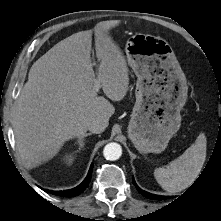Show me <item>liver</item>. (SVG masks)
Listing matches in <instances>:
<instances>
[{
  "label": "liver",
  "mask_w": 221,
  "mask_h": 221,
  "mask_svg": "<svg viewBox=\"0 0 221 221\" xmlns=\"http://www.w3.org/2000/svg\"><path fill=\"white\" fill-rule=\"evenodd\" d=\"M119 23L102 21L92 30L72 34L30 68L13 119L16 148L26 167L52 158L67 140L84 135L92 121L108 126L115 108L93 88L98 80L112 101L122 100L128 91L125 57L109 35ZM93 31L100 61L97 78L91 61Z\"/></svg>",
  "instance_id": "liver-1"
}]
</instances>
